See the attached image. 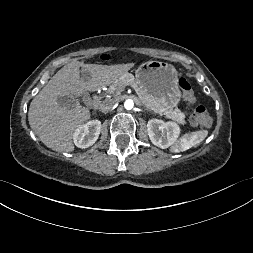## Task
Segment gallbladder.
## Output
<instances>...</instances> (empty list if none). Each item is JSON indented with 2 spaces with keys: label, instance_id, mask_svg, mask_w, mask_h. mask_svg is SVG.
<instances>
[{
  "label": "gallbladder",
  "instance_id": "gallbladder-1",
  "mask_svg": "<svg viewBox=\"0 0 253 253\" xmlns=\"http://www.w3.org/2000/svg\"><path fill=\"white\" fill-rule=\"evenodd\" d=\"M81 97L85 103H87L89 101V96L86 93H84ZM58 102L60 105L66 106L68 108H71L72 106L75 105V100H73V98L70 96L59 97Z\"/></svg>",
  "mask_w": 253,
  "mask_h": 253
}]
</instances>
